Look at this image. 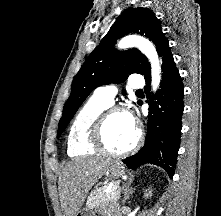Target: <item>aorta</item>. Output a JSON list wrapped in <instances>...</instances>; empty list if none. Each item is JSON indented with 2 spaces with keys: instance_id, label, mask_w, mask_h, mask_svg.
<instances>
[{
  "instance_id": "1",
  "label": "aorta",
  "mask_w": 221,
  "mask_h": 216,
  "mask_svg": "<svg viewBox=\"0 0 221 216\" xmlns=\"http://www.w3.org/2000/svg\"><path fill=\"white\" fill-rule=\"evenodd\" d=\"M132 47H137L149 59L152 68V89L156 91L161 80V68L155 46L149 40L136 35L126 36L118 43L119 49H128Z\"/></svg>"
}]
</instances>
